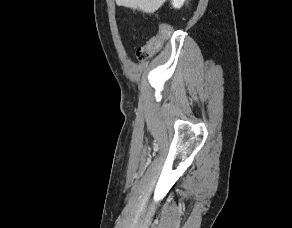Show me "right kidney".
Instances as JSON below:
<instances>
[{
    "label": "right kidney",
    "mask_w": 292,
    "mask_h": 228,
    "mask_svg": "<svg viewBox=\"0 0 292 228\" xmlns=\"http://www.w3.org/2000/svg\"><path fill=\"white\" fill-rule=\"evenodd\" d=\"M185 0H172V5L174 8H181L184 4Z\"/></svg>",
    "instance_id": "1"
}]
</instances>
